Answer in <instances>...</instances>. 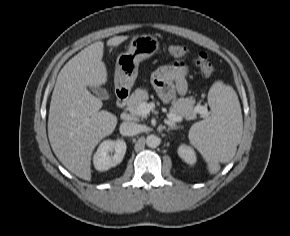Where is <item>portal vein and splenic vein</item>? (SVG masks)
I'll return each mask as SVG.
<instances>
[{
	"label": "portal vein and splenic vein",
	"instance_id": "1",
	"mask_svg": "<svg viewBox=\"0 0 290 236\" xmlns=\"http://www.w3.org/2000/svg\"><path fill=\"white\" fill-rule=\"evenodd\" d=\"M151 108H152L151 104L142 103L138 107V113L141 114L142 116H146L147 114L150 113ZM196 109L201 114H207V108L204 106H197ZM167 118L169 119V123L171 122V124H173L174 122H181L182 121L181 116H177V115H174L172 113H168Z\"/></svg>",
	"mask_w": 290,
	"mask_h": 236
}]
</instances>
